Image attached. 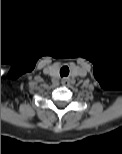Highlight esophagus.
Returning a JSON list of instances; mask_svg holds the SVG:
<instances>
[{
	"instance_id": "34e87169",
	"label": "esophagus",
	"mask_w": 122,
	"mask_h": 154,
	"mask_svg": "<svg viewBox=\"0 0 122 154\" xmlns=\"http://www.w3.org/2000/svg\"><path fill=\"white\" fill-rule=\"evenodd\" d=\"M69 78H67V77H64V78H62V80H61V83L63 84V85H68L69 84Z\"/></svg>"
}]
</instances>
